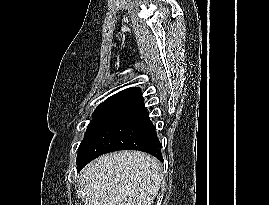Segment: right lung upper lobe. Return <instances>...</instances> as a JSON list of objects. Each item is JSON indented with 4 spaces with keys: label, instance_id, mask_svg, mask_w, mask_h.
<instances>
[{
    "label": "right lung upper lobe",
    "instance_id": "cb5924a9",
    "mask_svg": "<svg viewBox=\"0 0 269 205\" xmlns=\"http://www.w3.org/2000/svg\"><path fill=\"white\" fill-rule=\"evenodd\" d=\"M143 97L140 88H128L109 97L99 106H116L128 109L130 107L143 103Z\"/></svg>",
    "mask_w": 269,
    "mask_h": 205
}]
</instances>
